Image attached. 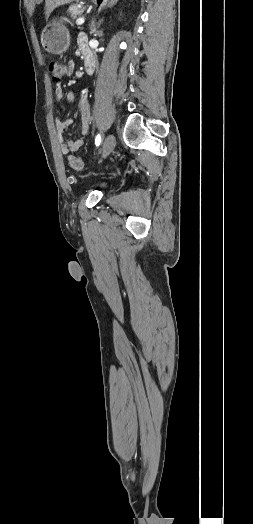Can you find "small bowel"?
<instances>
[{
    "label": "small bowel",
    "mask_w": 253,
    "mask_h": 524,
    "mask_svg": "<svg viewBox=\"0 0 253 524\" xmlns=\"http://www.w3.org/2000/svg\"><path fill=\"white\" fill-rule=\"evenodd\" d=\"M86 38L84 35H80L79 37V44H80V53L84 57L85 63H91L95 67V60L91 53V51L86 46ZM68 69L66 70V75L68 77H73L75 75V67L76 64L73 61L68 62L67 64ZM67 76H64V79H67ZM55 95L56 98L59 101H65V102H71L77 97H79L78 102V109L80 113L81 118V129H80V137L77 140H69L67 142H64V133L65 131L70 128L73 125V119L70 117H62L59 115L56 120V131L59 138V141L61 143V151L64 155H69L70 153H73L77 151L80 147L83 146L86 137L89 133V125L91 120V112H90V103L87 97V91L83 90L80 93L77 92H70L68 94H64L63 88L60 84L56 86L55 89Z\"/></svg>",
    "instance_id": "small-bowel-1"
}]
</instances>
